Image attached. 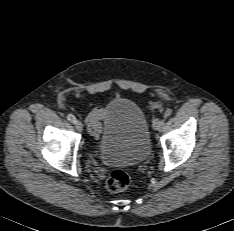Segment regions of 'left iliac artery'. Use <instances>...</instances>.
<instances>
[{"label": "left iliac artery", "instance_id": "obj_1", "mask_svg": "<svg viewBox=\"0 0 234 231\" xmlns=\"http://www.w3.org/2000/svg\"><path fill=\"white\" fill-rule=\"evenodd\" d=\"M164 127H165V120H164V119H161V120L159 121V129H160V130H163Z\"/></svg>", "mask_w": 234, "mask_h": 231}]
</instances>
